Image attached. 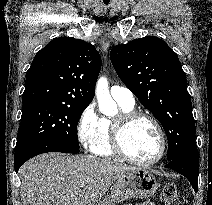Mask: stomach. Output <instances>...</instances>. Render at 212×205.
I'll use <instances>...</instances> for the list:
<instances>
[{"instance_id": "0dacf381", "label": "stomach", "mask_w": 212, "mask_h": 205, "mask_svg": "<svg viewBox=\"0 0 212 205\" xmlns=\"http://www.w3.org/2000/svg\"><path fill=\"white\" fill-rule=\"evenodd\" d=\"M159 184L155 176L141 168L125 172L113 185V191L97 205H116L129 198L145 199L154 195Z\"/></svg>"}]
</instances>
